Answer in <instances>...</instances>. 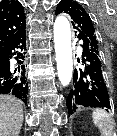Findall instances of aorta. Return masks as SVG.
<instances>
[{"label":"aorta","instance_id":"aorta-1","mask_svg":"<svg viewBox=\"0 0 117 136\" xmlns=\"http://www.w3.org/2000/svg\"><path fill=\"white\" fill-rule=\"evenodd\" d=\"M53 31L58 78L63 86H68L73 73L69 20L65 16H58L54 22Z\"/></svg>","mask_w":117,"mask_h":136}]
</instances>
